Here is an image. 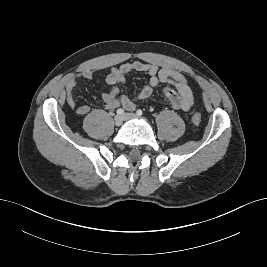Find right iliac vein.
Returning <instances> with one entry per match:
<instances>
[{"label":"right iliac vein","instance_id":"right-iliac-vein-1","mask_svg":"<svg viewBox=\"0 0 267 267\" xmlns=\"http://www.w3.org/2000/svg\"><path fill=\"white\" fill-rule=\"evenodd\" d=\"M124 121V116L122 115H116L114 118V123L116 126H121Z\"/></svg>","mask_w":267,"mask_h":267}]
</instances>
